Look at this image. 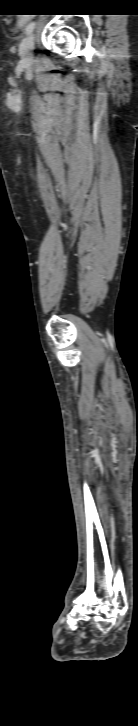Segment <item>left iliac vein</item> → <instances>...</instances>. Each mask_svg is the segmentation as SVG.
I'll use <instances>...</instances> for the list:
<instances>
[{"mask_svg": "<svg viewBox=\"0 0 138 726\" xmlns=\"http://www.w3.org/2000/svg\"><path fill=\"white\" fill-rule=\"evenodd\" d=\"M34 34L30 33L20 44L19 53L23 62H30L33 59Z\"/></svg>", "mask_w": 138, "mask_h": 726, "instance_id": "1", "label": "left iliac vein"}]
</instances>
